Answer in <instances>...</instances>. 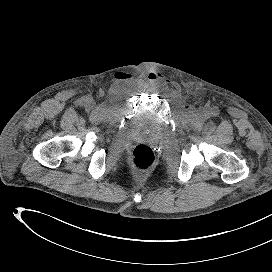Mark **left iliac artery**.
Masks as SVG:
<instances>
[{
	"mask_svg": "<svg viewBox=\"0 0 272 272\" xmlns=\"http://www.w3.org/2000/svg\"><path fill=\"white\" fill-rule=\"evenodd\" d=\"M218 113H219V110H218L217 108H215V109L213 110V112H212V114H213L214 116L218 115Z\"/></svg>",
	"mask_w": 272,
	"mask_h": 272,
	"instance_id": "44dca946",
	"label": "left iliac artery"
}]
</instances>
